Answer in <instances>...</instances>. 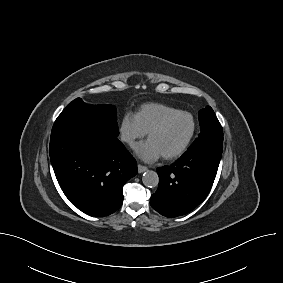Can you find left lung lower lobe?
I'll list each match as a JSON object with an SVG mask.
<instances>
[{"instance_id":"obj_1","label":"left lung lower lobe","mask_w":283,"mask_h":283,"mask_svg":"<svg viewBox=\"0 0 283 283\" xmlns=\"http://www.w3.org/2000/svg\"><path fill=\"white\" fill-rule=\"evenodd\" d=\"M221 156L210 148L196 147L172 165L158 168L159 185L151 196L152 208L169 218L194 210L211 190Z\"/></svg>"}]
</instances>
